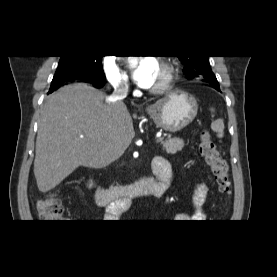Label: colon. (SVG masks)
I'll list each match as a JSON object with an SVG mask.
<instances>
[{"label": "colon", "mask_w": 277, "mask_h": 277, "mask_svg": "<svg viewBox=\"0 0 277 277\" xmlns=\"http://www.w3.org/2000/svg\"><path fill=\"white\" fill-rule=\"evenodd\" d=\"M199 151L209 166L221 194L224 196L229 195L231 183L228 165L218 150L215 141L207 132L201 134ZM37 209L39 217L44 222H56L63 213V206L60 199L53 194L41 198L37 202Z\"/></svg>", "instance_id": "colon-1"}]
</instances>
